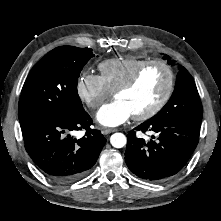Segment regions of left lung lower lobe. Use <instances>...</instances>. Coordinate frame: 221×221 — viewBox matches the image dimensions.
<instances>
[{
  "instance_id": "1",
  "label": "left lung lower lobe",
  "mask_w": 221,
  "mask_h": 221,
  "mask_svg": "<svg viewBox=\"0 0 221 221\" xmlns=\"http://www.w3.org/2000/svg\"><path fill=\"white\" fill-rule=\"evenodd\" d=\"M153 131L150 141L136 131ZM127 136L125 161L130 171L144 180L160 182L176 175L189 161L199 141V129L168 116L152 118Z\"/></svg>"
}]
</instances>
